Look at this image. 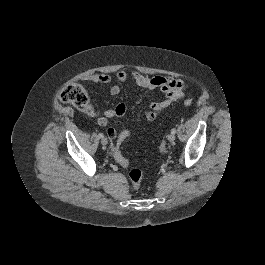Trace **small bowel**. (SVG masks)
<instances>
[{
	"label": "small bowel",
	"instance_id": "c3829d8e",
	"mask_svg": "<svg viewBox=\"0 0 265 265\" xmlns=\"http://www.w3.org/2000/svg\"><path fill=\"white\" fill-rule=\"evenodd\" d=\"M115 78L119 82L125 83L128 80V74L124 70H119L116 72ZM83 79L96 84L108 85L109 93L113 96L118 95L121 91L120 86L113 84V78L108 74H89ZM132 79L139 87L145 90L151 91L155 88H160V90L165 94L164 100L151 102L150 110L143 113V117L147 121L155 120L164 109L183 97L187 88V85L183 80L169 76L149 77L141 74L140 72L134 71L132 73ZM126 111V106L123 103H120L114 109H108L102 113L96 114L98 123L105 126L111 118L124 117L126 115ZM111 129L117 132L114 128Z\"/></svg>",
	"mask_w": 265,
	"mask_h": 265
}]
</instances>
